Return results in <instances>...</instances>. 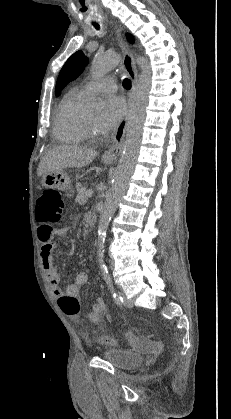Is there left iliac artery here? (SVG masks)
Wrapping results in <instances>:
<instances>
[{"label": "left iliac artery", "mask_w": 231, "mask_h": 419, "mask_svg": "<svg viewBox=\"0 0 231 419\" xmlns=\"http://www.w3.org/2000/svg\"><path fill=\"white\" fill-rule=\"evenodd\" d=\"M101 272H102L103 278H104V280H105V282H106V284H107V286H108V288H109V290H110V292H111V294H112L115 302L117 304L121 305L123 303V298L115 290V288L113 286V283H112V280H111V277H110V275L108 273V269H107L106 265H101Z\"/></svg>", "instance_id": "44dca946"}]
</instances>
